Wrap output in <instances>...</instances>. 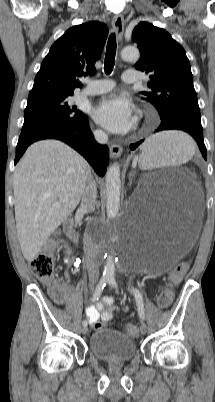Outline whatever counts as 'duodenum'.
<instances>
[{"instance_id": "410a0bca", "label": "duodenum", "mask_w": 215, "mask_h": 402, "mask_svg": "<svg viewBox=\"0 0 215 402\" xmlns=\"http://www.w3.org/2000/svg\"><path fill=\"white\" fill-rule=\"evenodd\" d=\"M66 233L69 236V238L77 243L79 241V235L75 229V224L73 220H68L65 226Z\"/></svg>"}]
</instances>
